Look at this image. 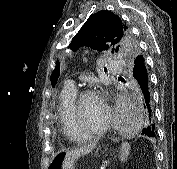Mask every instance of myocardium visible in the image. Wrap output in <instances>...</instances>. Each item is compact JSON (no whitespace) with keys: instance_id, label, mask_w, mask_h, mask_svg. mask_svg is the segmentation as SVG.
Returning <instances> with one entry per match:
<instances>
[{"instance_id":"myocardium-1","label":"myocardium","mask_w":177,"mask_h":169,"mask_svg":"<svg viewBox=\"0 0 177 169\" xmlns=\"http://www.w3.org/2000/svg\"><path fill=\"white\" fill-rule=\"evenodd\" d=\"M87 96H96L99 99H101L106 109V118L103 124L99 128L92 130L90 132L82 133L79 128V107L82 100ZM71 117H72L73 128H74L76 138L86 139L94 136H99L107 131L111 123L112 112L109 104L107 103L103 95H101L98 91L92 88H84L77 93V96L71 108Z\"/></svg>"}]
</instances>
